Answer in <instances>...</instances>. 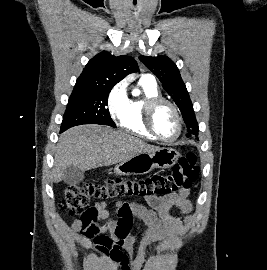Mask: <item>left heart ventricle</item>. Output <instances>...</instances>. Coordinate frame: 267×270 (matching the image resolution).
I'll return each instance as SVG.
<instances>
[{"mask_svg": "<svg viewBox=\"0 0 267 270\" xmlns=\"http://www.w3.org/2000/svg\"><path fill=\"white\" fill-rule=\"evenodd\" d=\"M153 121L157 133L163 138L171 139L176 135L177 118L170 106L160 105L154 112Z\"/></svg>", "mask_w": 267, "mask_h": 270, "instance_id": "obj_1", "label": "left heart ventricle"}]
</instances>
